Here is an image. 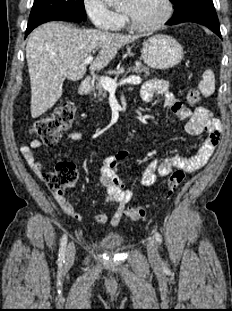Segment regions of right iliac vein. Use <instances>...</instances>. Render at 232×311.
I'll return each instance as SVG.
<instances>
[{"instance_id":"obj_1","label":"right iliac vein","mask_w":232,"mask_h":311,"mask_svg":"<svg viewBox=\"0 0 232 311\" xmlns=\"http://www.w3.org/2000/svg\"><path fill=\"white\" fill-rule=\"evenodd\" d=\"M75 256V245L70 243L66 251V264H70L74 260Z\"/></svg>"}]
</instances>
